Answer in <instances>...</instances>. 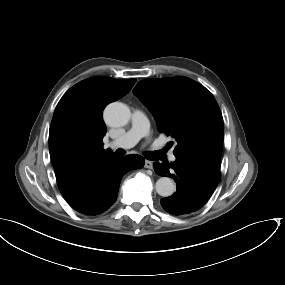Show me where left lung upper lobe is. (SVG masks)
<instances>
[{
    "mask_svg": "<svg viewBox=\"0 0 285 285\" xmlns=\"http://www.w3.org/2000/svg\"><path fill=\"white\" fill-rule=\"evenodd\" d=\"M153 114L158 130L177 141L175 157L221 164L223 118L213 95L183 76L145 79L133 90Z\"/></svg>",
    "mask_w": 285,
    "mask_h": 285,
    "instance_id": "5c2ea615",
    "label": "left lung upper lobe"
}]
</instances>
